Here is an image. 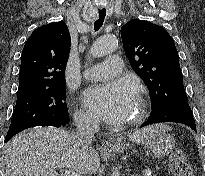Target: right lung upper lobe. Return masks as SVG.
<instances>
[{
	"label": "right lung upper lobe",
	"instance_id": "cb5924a9",
	"mask_svg": "<svg viewBox=\"0 0 205 176\" xmlns=\"http://www.w3.org/2000/svg\"><path fill=\"white\" fill-rule=\"evenodd\" d=\"M70 46L65 22H53L37 28L22 51L17 94L65 84Z\"/></svg>",
	"mask_w": 205,
	"mask_h": 176
}]
</instances>
